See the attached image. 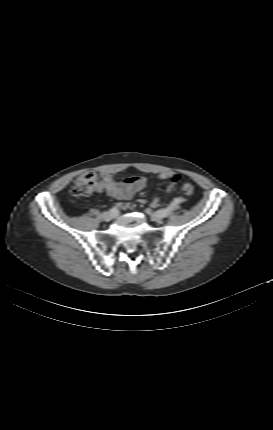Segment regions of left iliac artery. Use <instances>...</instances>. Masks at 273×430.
I'll use <instances>...</instances> for the list:
<instances>
[{
	"instance_id": "44dca946",
	"label": "left iliac artery",
	"mask_w": 273,
	"mask_h": 430,
	"mask_svg": "<svg viewBox=\"0 0 273 430\" xmlns=\"http://www.w3.org/2000/svg\"><path fill=\"white\" fill-rule=\"evenodd\" d=\"M183 202H184V197L183 196H178L177 197V202H172L168 207L160 209L158 211V213L162 217H167L178 203H183Z\"/></svg>"
}]
</instances>
